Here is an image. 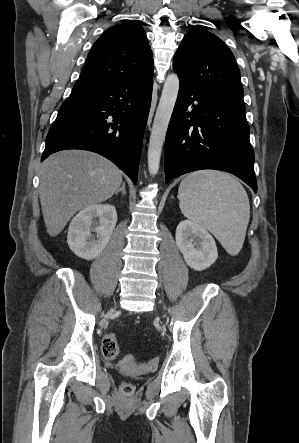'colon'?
Here are the masks:
<instances>
[{
    "label": "colon",
    "mask_w": 299,
    "mask_h": 443,
    "mask_svg": "<svg viewBox=\"0 0 299 443\" xmlns=\"http://www.w3.org/2000/svg\"><path fill=\"white\" fill-rule=\"evenodd\" d=\"M101 349L103 355L108 359H116L119 355V343L117 337L108 333L103 336L101 341ZM119 365L132 373H146L155 371L158 366L157 359H150L145 362H137L131 355L124 356ZM134 391V385L130 382H124L120 386V392L124 396H131Z\"/></svg>",
    "instance_id": "1"
}]
</instances>
